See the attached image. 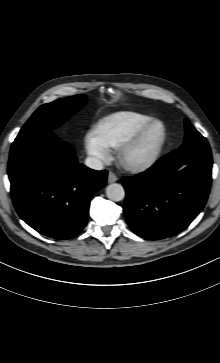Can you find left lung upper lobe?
<instances>
[{
	"label": "left lung upper lobe",
	"mask_w": 220,
	"mask_h": 363,
	"mask_svg": "<svg viewBox=\"0 0 220 363\" xmlns=\"http://www.w3.org/2000/svg\"><path fill=\"white\" fill-rule=\"evenodd\" d=\"M185 123V140L184 144L181 147L185 146H203L209 147L207 140L189 123L187 119L184 121Z\"/></svg>",
	"instance_id": "5c2ea615"
}]
</instances>
